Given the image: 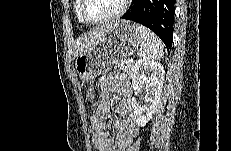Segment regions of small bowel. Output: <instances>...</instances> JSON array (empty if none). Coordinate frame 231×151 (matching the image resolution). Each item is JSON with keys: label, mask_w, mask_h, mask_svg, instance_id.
<instances>
[{"label": "small bowel", "mask_w": 231, "mask_h": 151, "mask_svg": "<svg viewBox=\"0 0 231 151\" xmlns=\"http://www.w3.org/2000/svg\"><path fill=\"white\" fill-rule=\"evenodd\" d=\"M115 90L120 94L117 112L123 117L112 121L116 136L108 132L107 120L110 113V94ZM131 86L124 77L109 74L102 78L98 89L97 110L91 117L92 142L97 151H124L138 132L131 105Z\"/></svg>", "instance_id": "c3829d8e"}]
</instances>
